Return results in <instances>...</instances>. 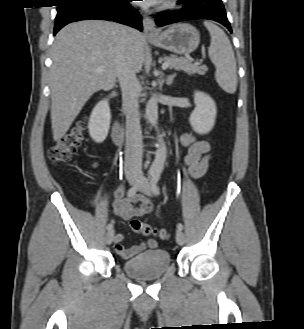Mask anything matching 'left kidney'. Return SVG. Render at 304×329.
<instances>
[{"mask_svg":"<svg viewBox=\"0 0 304 329\" xmlns=\"http://www.w3.org/2000/svg\"><path fill=\"white\" fill-rule=\"evenodd\" d=\"M194 103L196 107L190 115L189 122L196 133L207 134L215 124L217 114L215 102L209 95L195 91Z\"/></svg>","mask_w":304,"mask_h":329,"instance_id":"left-kidney-1","label":"left kidney"}]
</instances>
